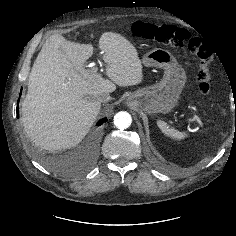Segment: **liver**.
I'll return each mask as SVG.
<instances>
[{
  "label": "liver",
  "mask_w": 236,
  "mask_h": 236,
  "mask_svg": "<svg viewBox=\"0 0 236 236\" xmlns=\"http://www.w3.org/2000/svg\"><path fill=\"white\" fill-rule=\"evenodd\" d=\"M107 79L85 68L93 54L90 44L51 35L39 52L21 105V121L30 139L45 150L76 146L101 109L99 96L118 86L143 81L138 51L124 36L104 32L99 39Z\"/></svg>",
  "instance_id": "6515ba94"
}]
</instances>
